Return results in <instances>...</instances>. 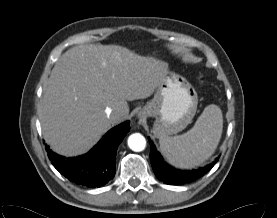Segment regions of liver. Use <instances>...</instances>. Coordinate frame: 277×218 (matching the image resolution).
<instances>
[{"label":"liver","instance_id":"1","mask_svg":"<svg viewBox=\"0 0 277 218\" xmlns=\"http://www.w3.org/2000/svg\"><path fill=\"white\" fill-rule=\"evenodd\" d=\"M167 63L117 45H79L55 63L38 115L46 142L61 155L92 148L112 125L128 117L127 101L153 94ZM109 107L120 118L108 116Z\"/></svg>","mask_w":277,"mask_h":218}]
</instances>
